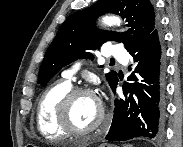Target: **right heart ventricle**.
I'll list each match as a JSON object with an SVG mask.
<instances>
[{
	"mask_svg": "<svg viewBox=\"0 0 183 147\" xmlns=\"http://www.w3.org/2000/svg\"><path fill=\"white\" fill-rule=\"evenodd\" d=\"M72 88L67 80L51 84L45 89L37 105L36 122L39 132L47 139L55 140L67 136L57 121V105L61 98Z\"/></svg>",
	"mask_w": 183,
	"mask_h": 147,
	"instance_id": "right-heart-ventricle-1",
	"label": "right heart ventricle"
}]
</instances>
